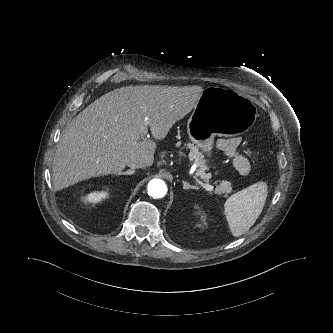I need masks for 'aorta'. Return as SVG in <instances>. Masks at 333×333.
<instances>
[{
	"mask_svg": "<svg viewBox=\"0 0 333 333\" xmlns=\"http://www.w3.org/2000/svg\"><path fill=\"white\" fill-rule=\"evenodd\" d=\"M167 190L166 183L161 179H152L147 185L148 195L154 199L163 198Z\"/></svg>",
	"mask_w": 333,
	"mask_h": 333,
	"instance_id": "762f6f07",
	"label": "aorta"
}]
</instances>
